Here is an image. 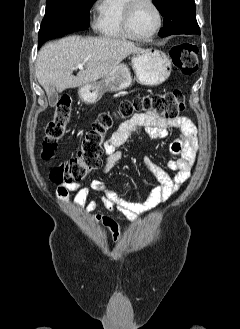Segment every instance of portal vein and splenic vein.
Masks as SVG:
<instances>
[{"label":"portal vein and splenic vein","mask_w":240,"mask_h":329,"mask_svg":"<svg viewBox=\"0 0 240 329\" xmlns=\"http://www.w3.org/2000/svg\"><path fill=\"white\" fill-rule=\"evenodd\" d=\"M76 68L81 69V70L84 69L82 64H78V65L76 66Z\"/></svg>","instance_id":"1"}]
</instances>
